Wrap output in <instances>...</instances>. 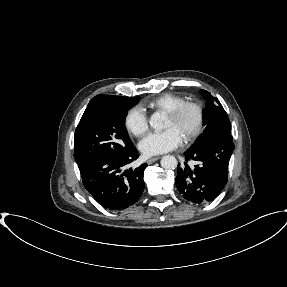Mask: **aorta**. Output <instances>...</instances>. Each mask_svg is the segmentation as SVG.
Returning <instances> with one entry per match:
<instances>
[{
  "label": "aorta",
  "mask_w": 287,
  "mask_h": 287,
  "mask_svg": "<svg viewBox=\"0 0 287 287\" xmlns=\"http://www.w3.org/2000/svg\"><path fill=\"white\" fill-rule=\"evenodd\" d=\"M150 126L155 130L163 128L162 118L159 114H153L149 120ZM161 167L167 170H174L177 167V159L173 155H165L161 159Z\"/></svg>",
  "instance_id": "1"
}]
</instances>
